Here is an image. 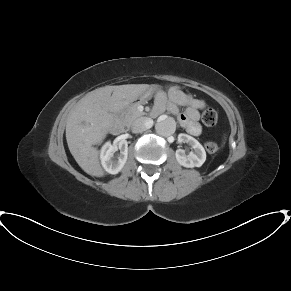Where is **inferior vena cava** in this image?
<instances>
[{"instance_id":"obj_1","label":"inferior vena cava","mask_w":291,"mask_h":291,"mask_svg":"<svg viewBox=\"0 0 291 291\" xmlns=\"http://www.w3.org/2000/svg\"><path fill=\"white\" fill-rule=\"evenodd\" d=\"M153 125V120L147 117H140L133 121L131 125V130L133 133H140L149 128Z\"/></svg>"}]
</instances>
